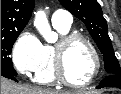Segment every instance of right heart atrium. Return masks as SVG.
Wrapping results in <instances>:
<instances>
[{
	"instance_id": "right-heart-atrium-1",
	"label": "right heart atrium",
	"mask_w": 121,
	"mask_h": 94,
	"mask_svg": "<svg viewBox=\"0 0 121 94\" xmlns=\"http://www.w3.org/2000/svg\"><path fill=\"white\" fill-rule=\"evenodd\" d=\"M41 58V43L31 32H24L15 42L11 60L14 68L22 75H29L37 68Z\"/></svg>"
}]
</instances>
